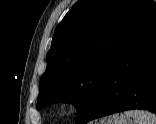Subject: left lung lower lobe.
Here are the masks:
<instances>
[{
  "instance_id": "obj_1",
  "label": "left lung lower lobe",
  "mask_w": 156,
  "mask_h": 124,
  "mask_svg": "<svg viewBox=\"0 0 156 124\" xmlns=\"http://www.w3.org/2000/svg\"><path fill=\"white\" fill-rule=\"evenodd\" d=\"M130 109L156 114V13L125 48L79 124Z\"/></svg>"
}]
</instances>
